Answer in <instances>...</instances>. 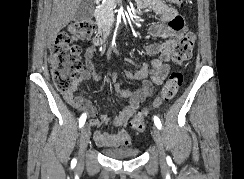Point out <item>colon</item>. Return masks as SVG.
Listing matches in <instances>:
<instances>
[{
	"instance_id": "colon-1",
	"label": "colon",
	"mask_w": 244,
	"mask_h": 179,
	"mask_svg": "<svg viewBox=\"0 0 244 179\" xmlns=\"http://www.w3.org/2000/svg\"><path fill=\"white\" fill-rule=\"evenodd\" d=\"M168 3H181L182 0H167ZM94 23L89 20H80L70 24L55 39L50 51L51 74L57 89L63 93H72L78 84L80 72L84 68L81 59L80 46L73 43L75 36L87 37L92 34ZM196 36L188 32L174 48L173 59L176 63L187 61L191 58ZM183 81L181 73H172L163 86L160 94L146 107L142 108L131 119V126L136 131H143L145 119L154 109L163 103L171 101Z\"/></svg>"
}]
</instances>
